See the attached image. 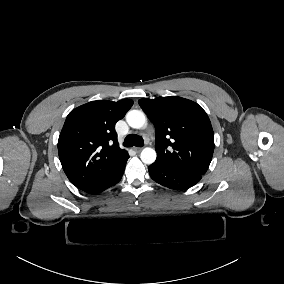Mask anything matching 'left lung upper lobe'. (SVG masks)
<instances>
[{"mask_svg":"<svg viewBox=\"0 0 284 284\" xmlns=\"http://www.w3.org/2000/svg\"><path fill=\"white\" fill-rule=\"evenodd\" d=\"M138 103L155 126L156 161L205 174L213 156L214 133L203 108L178 96L140 99Z\"/></svg>","mask_w":284,"mask_h":284,"instance_id":"1","label":"left lung upper lobe"}]
</instances>
